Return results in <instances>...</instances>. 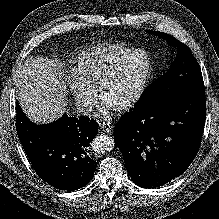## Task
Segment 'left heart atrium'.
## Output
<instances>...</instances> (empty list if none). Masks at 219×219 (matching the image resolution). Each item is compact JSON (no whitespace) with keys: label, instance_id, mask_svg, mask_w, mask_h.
<instances>
[{"label":"left heart atrium","instance_id":"obj_1","mask_svg":"<svg viewBox=\"0 0 219 219\" xmlns=\"http://www.w3.org/2000/svg\"><path fill=\"white\" fill-rule=\"evenodd\" d=\"M101 105H102L104 108H108V107L110 106L104 99H102Z\"/></svg>","mask_w":219,"mask_h":219}]
</instances>
